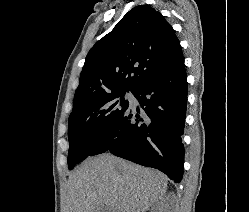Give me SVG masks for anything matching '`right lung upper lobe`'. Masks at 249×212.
<instances>
[{
	"label": "right lung upper lobe",
	"mask_w": 249,
	"mask_h": 212,
	"mask_svg": "<svg viewBox=\"0 0 249 212\" xmlns=\"http://www.w3.org/2000/svg\"><path fill=\"white\" fill-rule=\"evenodd\" d=\"M182 57L173 28L147 5L130 10L89 51L73 108L118 92H134Z\"/></svg>",
	"instance_id": "right-lung-upper-lobe-1"
}]
</instances>
